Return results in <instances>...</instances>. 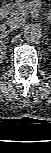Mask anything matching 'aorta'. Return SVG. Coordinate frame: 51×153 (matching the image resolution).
<instances>
[{
	"mask_svg": "<svg viewBox=\"0 0 51 153\" xmlns=\"http://www.w3.org/2000/svg\"><path fill=\"white\" fill-rule=\"evenodd\" d=\"M42 37V28L38 24H29L24 30V38L27 42H37Z\"/></svg>",
	"mask_w": 51,
	"mask_h": 153,
	"instance_id": "1",
	"label": "aorta"
}]
</instances>
